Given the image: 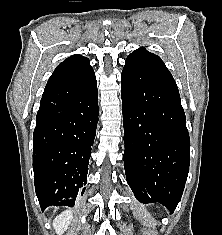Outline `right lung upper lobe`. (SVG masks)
Listing matches in <instances>:
<instances>
[{
	"instance_id": "obj_1",
	"label": "right lung upper lobe",
	"mask_w": 222,
	"mask_h": 235,
	"mask_svg": "<svg viewBox=\"0 0 222 235\" xmlns=\"http://www.w3.org/2000/svg\"><path fill=\"white\" fill-rule=\"evenodd\" d=\"M90 70H92V67L90 66L89 59L84 56L75 54L61 62L54 70L50 79H66L80 74H84Z\"/></svg>"
}]
</instances>
